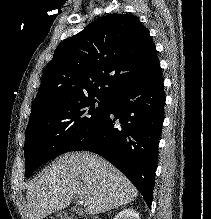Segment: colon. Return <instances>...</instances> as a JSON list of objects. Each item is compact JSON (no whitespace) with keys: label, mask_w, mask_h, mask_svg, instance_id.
Returning <instances> with one entry per match:
<instances>
[{"label":"colon","mask_w":211,"mask_h":219,"mask_svg":"<svg viewBox=\"0 0 211 219\" xmlns=\"http://www.w3.org/2000/svg\"><path fill=\"white\" fill-rule=\"evenodd\" d=\"M48 219H74V217H72L71 215H68V214H59L57 216L50 217ZM83 219H100V218H98V217H89V218H83Z\"/></svg>","instance_id":"5ec220e1"}]
</instances>
